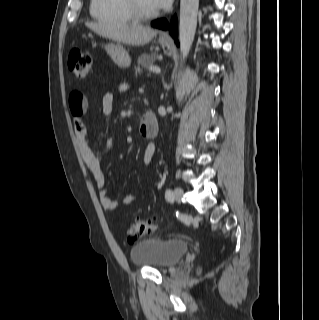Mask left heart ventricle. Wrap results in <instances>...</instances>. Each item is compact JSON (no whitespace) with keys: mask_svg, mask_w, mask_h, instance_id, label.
<instances>
[{"mask_svg":"<svg viewBox=\"0 0 319 320\" xmlns=\"http://www.w3.org/2000/svg\"><path fill=\"white\" fill-rule=\"evenodd\" d=\"M140 6L142 7V9H144L145 11H153L156 10L150 3L149 0H138Z\"/></svg>","mask_w":319,"mask_h":320,"instance_id":"1","label":"left heart ventricle"}]
</instances>
